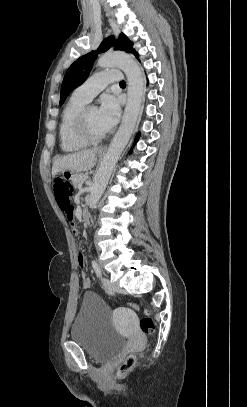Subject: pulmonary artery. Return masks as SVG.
I'll return each mask as SVG.
<instances>
[{
	"label": "pulmonary artery",
	"mask_w": 247,
	"mask_h": 407,
	"mask_svg": "<svg viewBox=\"0 0 247 407\" xmlns=\"http://www.w3.org/2000/svg\"><path fill=\"white\" fill-rule=\"evenodd\" d=\"M122 74L119 70H107L95 73L73 93V97L90 102L108 84L121 81Z\"/></svg>",
	"instance_id": "1"
}]
</instances>
